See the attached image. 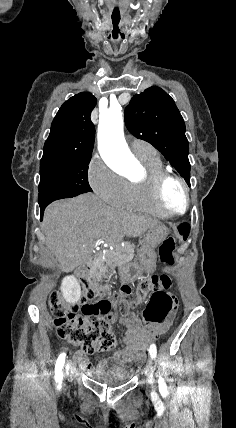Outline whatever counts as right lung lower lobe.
I'll use <instances>...</instances> for the list:
<instances>
[{
    "label": "right lung lower lobe",
    "instance_id": "obj_1",
    "mask_svg": "<svg viewBox=\"0 0 236 428\" xmlns=\"http://www.w3.org/2000/svg\"><path fill=\"white\" fill-rule=\"evenodd\" d=\"M50 203H51V202H50ZM50 203H45V204L40 205V217H41V220H42V218H43V213H44L45 208H46Z\"/></svg>",
    "mask_w": 236,
    "mask_h": 428
}]
</instances>
